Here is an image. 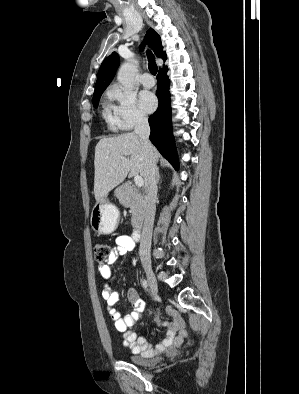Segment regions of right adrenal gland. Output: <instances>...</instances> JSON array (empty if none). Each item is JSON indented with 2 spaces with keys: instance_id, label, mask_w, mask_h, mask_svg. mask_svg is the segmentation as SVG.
Instances as JSON below:
<instances>
[{
  "instance_id": "obj_1",
  "label": "right adrenal gland",
  "mask_w": 299,
  "mask_h": 394,
  "mask_svg": "<svg viewBox=\"0 0 299 394\" xmlns=\"http://www.w3.org/2000/svg\"><path fill=\"white\" fill-rule=\"evenodd\" d=\"M160 181V173H159V167L156 170V183L158 184Z\"/></svg>"
}]
</instances>
